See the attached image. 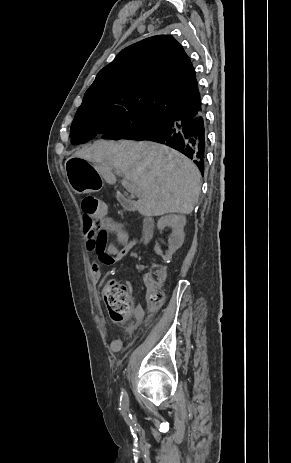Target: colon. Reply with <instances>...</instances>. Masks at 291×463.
<instances>
[{
    "label": "colon",
    "mask_w": 291,
    "mask_h": 463,
    "mask_svg": "<svg viewBox=\"0 0 291 463\" xmlns=\"http://www.w3.org/2000/svg\"><path fill=\"white\" fill-rule=\"evenodd\" d=\"M84 215L83 227L87 230L97 229L99 220L106 212L105 204L96 197H85L81 203ZM153 283L147 292V303L151 310H156L164 301V293L161 284L165 280V270L154 269L152 273ZM103 298L110 317L116 322H124L131 314V294L128 288L116 281H110L103 290Z\"/></svg>",
    "instance_id": "obj_1"
}]
</instances>
